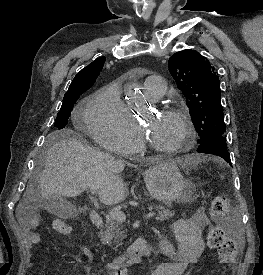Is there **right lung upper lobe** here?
<instances>
[{"instance_id":"1","label":"right lung upper lobe","mask_w":263,"mask_h":275,"mask_svg":"<svg viewBox=\"0 0 263 275\" xmlns=\"http://www.w3.org/2000/svg\"><path fill=\"white\" fill-rule=\"evenodd\" d=\"M105 62V57L94 60L91 64L82 69L73 79L66 93L89 89L96 81Z\"/></svg>"}]
</instances>
